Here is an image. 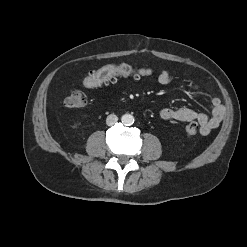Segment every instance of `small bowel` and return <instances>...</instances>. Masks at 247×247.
<instances>
[{
	"mask_svg": "<svg viewBox=\"0 0 247 247\" xmlns=\"http://www.w3.org/2000/svg\"><path fill=\"white\" fill-rule=\"evenodd\" d=\"M158 82L162 85H169L172 78L167 71H162L158 74ZM194 91H198L197 85L193 86ZM212 113L208 116L205 113L197 112L187 107L179 108H163L159 112V116L164 120H177L181 122L196 123L202 135L210 134L221 123L225 115V107L219 97L213 96L210 98Z\"/></svg>",
	"mask_w": 247,
	"mask_h": 247,
	"instance_id": "1",
	"label": "small bowel"
}]
</instances>
